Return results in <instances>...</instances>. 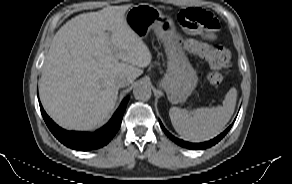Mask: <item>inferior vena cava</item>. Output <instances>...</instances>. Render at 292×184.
I'll use <instances>...</instances> for the list:
<instances>
[{
	"mask_svg": "<svg viewBox=\"0 0 292 184\" xmlns=\"http://www.w3.org/2000/svg\"><path fill=\"white\" fill-rule=\"evenodd\" d=\"M116 84H117L118 87H125V86L130 84V80L127 79V78H119L116 81Z\"/></svg>",
	"mask_w": 292,
	"mask_h": 184,
	"instance_id": "inferior-vena-cava-1",
	"label": "inferior vena cava"
}]
</instances>
